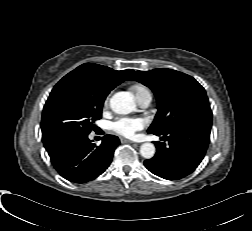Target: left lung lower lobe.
Segmentation results:
<instances>
[{
	"label": "left lung lower lobe",
	"instance_id": "obj_1",
	"mask_svg": "<svg viewBox=\"0 0 252 231\" xmlns=\"http://www.w3.org/2000/svg\"><path fill=\"white\" fill-rule=\"evenodd\" d=\"M211 124L192 121L177 125L156 142L157 153L144 161L153 174L168 180L181 179L192 173L204 158L210 141Z\"/></svg>",
	"mask_w": 252,
	"mask_h": 231
}]
</instances>
